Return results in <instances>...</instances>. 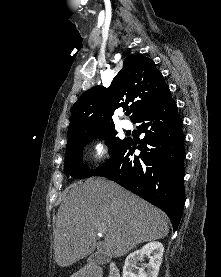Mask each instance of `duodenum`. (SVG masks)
<instances>
[{"label":"duodenum","mask_w":221,"mask_h":277,"mask_svg":"<svg viewBox=\"0 0 221 277\" xmlns=\"http://www.w3.org/2000/svg\"><path fill=\"white\" fill-rule=\"evenodd\" d=\"M101 276H102L101 268L96 265L88 266L82 272V277H101ZM107 277H120L119 269L114 263H111L109 265Z\"/></svg>","instance_id":"410a0bca"}]
</instances>
